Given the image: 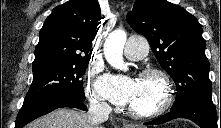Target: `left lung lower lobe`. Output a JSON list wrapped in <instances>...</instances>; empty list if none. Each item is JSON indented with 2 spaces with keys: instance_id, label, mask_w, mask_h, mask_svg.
<instances>
[{
  "instance_id": "1",
  "label": "left lung lower lobe",
  "mask_w": 221,
  "mask_h": 128,
  "mask_svg": "<svg viewBox=\"0 0 221 128\" xmlns=\"http://www.w3.org/2000/svg\"><path fill=\"white\" fill-rule=\"evenodd\" d=\"M176 118H186L192 120L201 128H218L219 127V115L212 102L206 101H192L182 107L165 115L145 123V125H157L163 124ZM220 128H221V113H220Z\"/></svg>"
}]
</instances>
